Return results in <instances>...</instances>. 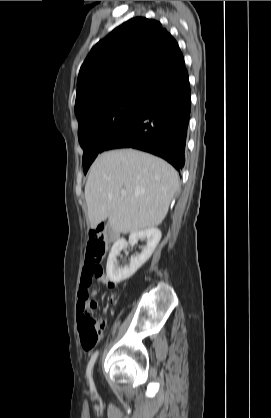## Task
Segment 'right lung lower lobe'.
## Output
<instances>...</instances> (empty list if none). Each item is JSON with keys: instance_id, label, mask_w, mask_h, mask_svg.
<instances>
[{"instance_id": "98d812e1", "label": "right lung lower lobe", "mask_w": 271, "mask_h": 418, "mask_svg": "<svg viewBox=\"0 0 271 418\" xmlns=\"http://www.w3.org/2000/svg\"><path fill=\"white\" fill-rule=\"evenodd\" d=\"M191 94L186 68L105 140L100 153L135 148L160 156L177 170L184 166Z\"/></svg>"}]
</instances>
